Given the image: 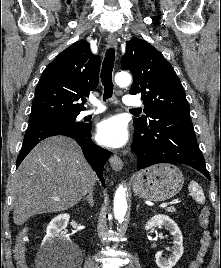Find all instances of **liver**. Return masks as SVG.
Listing matches in <instances>:
<instances>
[{
	"instance_id": "obj_1",
	"label": "liver",
	"mask_w": 221,
	"mask_h": 268,
	"mask_svg": "<svg viewBox=\"0 0 221 268\" xmlns=\"http://www.w3.org/2000/svg\"><path fill=\"white\" fill-rule=\"evenodd\" d=\"M96 174L77 143L64 136L37 144L12 181L13 220L24 224L42 213L65 211L93 190Z\"/></svg>"
}]
</instances>
